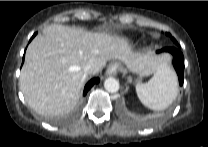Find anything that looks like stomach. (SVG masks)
<instances>
[{"instance_id":"1","label":"stomach","mask_w":208,"mask_h":147,"mask_svg":"<svg viewBox=\"0 0 208 147\" xmlns=\"http://www.w3.org/2000/svg\"><path fill=\"white\" fill-rule=\"evenodd\" d=\"M142 77H143V76H142L141 74H139V78H138V80H137L138 83H140Z\"/></svg>"}]
</instances>
